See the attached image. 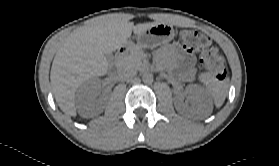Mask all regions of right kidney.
I'll return each instance as SVG.
<instances>
[{"label": "right kidney", "mask_w": 279, "mask_h": 166, "mask_svg": "<svg viewBox=\"0 0 279 166\" xmlns=\"http://www.w3.org/2000/svg\"><path fill=\"white\" fill-rule=\"evenodd\" d=\"M101 86L99 81H89L84 89V92L78 94V103L80 109L83 111L92 105L98 96L97 90Z\"/></svg>", "instance_id": "1"}]
</instances>
